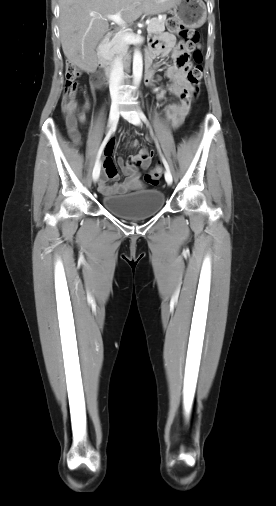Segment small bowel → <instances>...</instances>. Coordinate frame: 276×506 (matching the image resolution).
Instances as JSON below:
<instances>
[{"label":"small bowel","instance_id":"small-bowel-1","mask_svg":"<svg viewBox=\"0 0 276 506\" xmlns=\"http://www.w3.org/2000/svg\"><path fill=\"white\" fill-rule=\"evenodd\" d=\"M146 55L150 58L149 72L150 77L145 78L148 85L154 86L156 80L154 73L158 65L155 59L158 56H170L173 63L166 66L165 75L170 80L168 87H157V96L160 100H165L168 93L183 97L182 103H170L165 108V115L167 120L171 123L173 128H177L183 121L187 112V102L184 100L186 96L192 91V86L186 78V73L190 67L188 61L186 47L183 43L176 45L175 37L171 34L162 36L161 41H154L146 50ZM91 88L95 92L102 88V77L98 73L91 76ZM90 107V103L86 102L83 105V111ZM84 119V116L81 117ZM133 146L137 147L138 143L134 142ZM115 142L110 141L105 148V157L102 163V176L99 180V190L107 195L114 193H122L135 189L140 184V173L138 167L147 168L152 160L153 153L145 149H141L137 155L129 157L125 163L122 158H118L117 165L121 171L126 175V180L122 183L115 182L109 185L108 181H116L118 179L117 168L113 161V151Z\"/></svg>","mask_w":276,"mask_h":506}]
</instances>
